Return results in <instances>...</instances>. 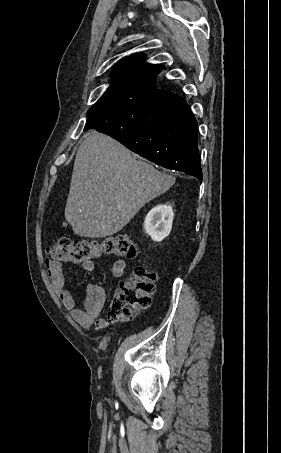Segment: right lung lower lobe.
I'll list each match as a JSON object with an SVG mask.
<instances>
[{
  "label": "right lung lower lobe",
  "instance_id": "1",
  "mask_svg": "<svg viewBox=\"0 0 281 453\" xmlns=\"http://www.w3.org/2000/svg\"><path fill=\"white\" fill-rule=\"evenodd\" d=\"M85 130L94 128L140 156L202 181L198 126L179 96L154 89L130 101L89 109Z\"/></svg>",
  "mask_w": 281,
  "mask_h": 453
}]
</instances>
